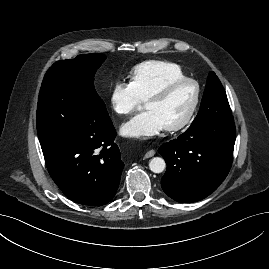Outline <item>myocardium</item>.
Masks as SVG:
<instances>
[{"mask_svg":"<svg viewBox=\"0 0 269 269\" xmlns=\"http://www.w3.org/2000/svg\"><path fill=\"white\" fill-rule=\"evenodd\" d=\"M183 84H192L195 87L194 100H193V103H192L188 113L186 114V116L183 118L182 121H180L177 124L165 127V129L167 131H169V132L181 131L184 128H186L191 123V121L193 120V118L195 116V113H196V111L198 109V106H199V103H200V98H201V89H200L199 83L195 79L187 78V77L172 80V81L168 82L167 84H165L160 89H158L157 91H155L154 93H152L146 99V103L150 102V101L162 100L165 97H167L169 95V93L174 88H176V87H178L180 85H183Z\"/></svg>","mask_w":269,"mask_h":269,"instance_id":"myocardium-1","label":"myocardium"}]
</instances>
